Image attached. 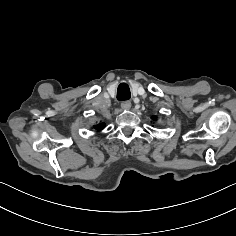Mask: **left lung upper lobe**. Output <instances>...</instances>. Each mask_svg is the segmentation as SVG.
I'll return each instance as SVG.
<instances>
[{
    "instance_id": "left-lung-upper-lobe-1",
    "label": "left lung upper lobe",
    "mask_w": 236,
    "mask_h": 236,
    "mask_svg": "<svg viewBox=\"0 0 236 236\" xmlns=\"http://www.w3.org/2000/svg\"><path fill=\"white\" fill-rule=\"evenodd\" d=\"M152 119H153V120H155V119H156V117L154 116V117H152Z\"/></svg>"
}]
</instances>
